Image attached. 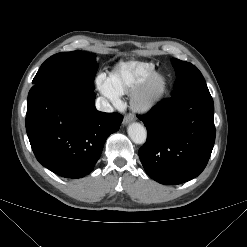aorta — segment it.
I'll use <instances>...</instances> for the list:
<instances>
[{
	"label": "aorta",
	"instance_id": "1",
	"mask_svg": "<svg viewBox=\"0 0 247 247\" xmlns=\"http://www.w3.org/2000/svg\"><path fill=\"white\" fill-rule=\"evenodd\" d=\"M128 135L135 144H144L147 138V132L140 123H132L128 127Z\"/></svg>",
	"mask_w": 247,
	"mask_h": 247
}]
</instances>
